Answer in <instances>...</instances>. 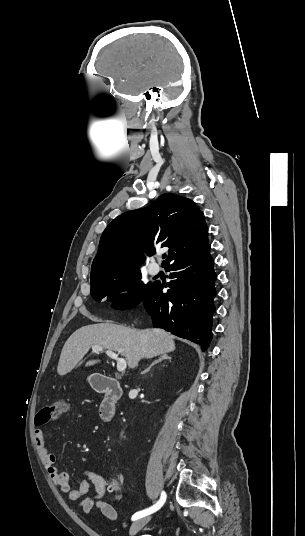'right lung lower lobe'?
<instances>
[{
	"instance_id": "1",
	"label": "right lung lower lobe",
	"mask_w": 305,
	"mask_h": 536,
	"mask_svg": "<svg viewBox=\"0 0 305 536\" xmlns=\"http://www.w3.org/2000/svg\"><path fill=\"white\" fill-rule=\"evenodd\" d=\"M210 245L165 267L173 278L162 292L160 283H153L142 302L151 315L154 327L158 326L187 338L207 350L212 338V316L216 296L213 269L214 261L209 253Z\"/></svg>"
}]
</instances>
